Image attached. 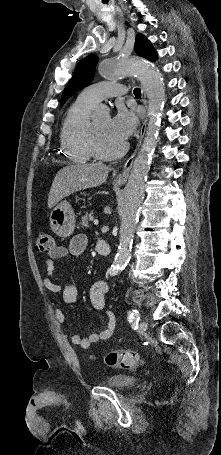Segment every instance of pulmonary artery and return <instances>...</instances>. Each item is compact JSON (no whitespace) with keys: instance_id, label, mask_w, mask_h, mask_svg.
I'll list each match as a JSON object with an SVG mask.
<instances>
[{"instance_id":"e3ab8cb5","label":"pulmonary artery","mask_w":221,"mask_h":455,"mask_svg":"<svg viewBox=\"0 0 221 455\" xmlns=\"http://www.w3.org/2000/svg\"><path fill=\"white\" fill-rule=\"evenodd\" d=\"M126 92L127 88L124 85L104 81L84 88L79 96L83 101L94 106L103 99L123 95Z\"/></svg>"}]
</instances>
